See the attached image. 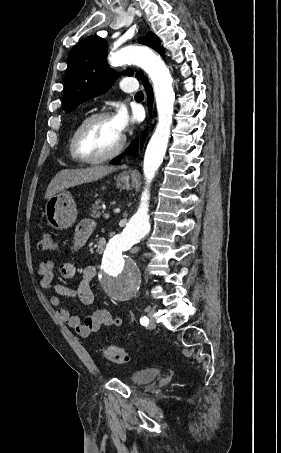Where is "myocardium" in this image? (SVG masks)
<instances>
[{"mask_svg":"<svg viewBox=\"0 0 281 453\" xmlns=\"http://www.w3.org/2000/svg\"><path fill=\"white\" fill-rule=\"evenodd\" d=\"M110 119H111V116L109 113L101 112V113H96V114L91 115L90 117L86 118L85 120H83L80 123V125L78 126V128L76 130L75 137H74V154L78 160L85 162V163H100V162H104V161L113 159L117 155L120 154V152L123 150L125 143H126V137L124 135H122L120 142L117 144V146L112 151H110L107 154L98 156V157L89 158L83 154L82 149H81L82 139H83L84 134H85L86 130L88 129V127L94 122L110 120Z\"/></svg>","mask_w":281,"mask_h":453,"instance_id":"myocardium-1","label":"myocardium"}]
</instances>
